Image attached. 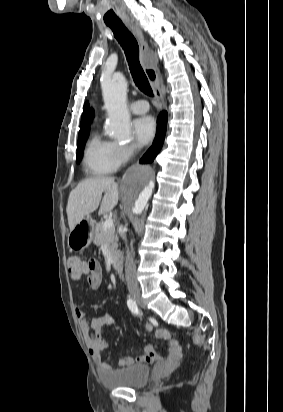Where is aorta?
<instances>
[{"label":"aorta","instance_id":"obj_1","mask_svg":"<svg viewBox=\"0 0 283 412\" xmlns=\"http://www.w3.org/2000/svg\"><path fill=\"white\" fill-rule=\"evenodd\" d=\"M127 78L117 73L102 82V93L108 114L107 134L117 140H127L131 136L130 116L126 105ZM153 180L147 169L128 172L122 183L126 199L133 203L132 212L141 214L151 196Z\"/></svg>","mask_w":283,"mask_h":412}]
</instances>
